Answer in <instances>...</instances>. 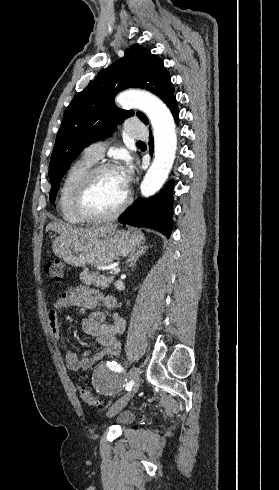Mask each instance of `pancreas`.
<instances>
[{"mask_svg": "<svg viewBox=\"0 0 279 490\" xmlns=\"http://www.w3.org/2000/svg\"><path fill=\"white\" fill-rule=\"evenodd\" d=\"M82 284H93L97 288H108L109 284L113 282L114 276H104L100 272H89L88 268H84L79 278Z\"/></svg>", "mask_w": 279, "mask_h": 490, "instance_id": "obj_1", "label": "pancreas"}]
</instances>
